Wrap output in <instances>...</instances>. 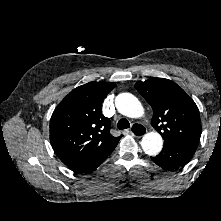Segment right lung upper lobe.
Masks as SVG:
<instances>
[{"label":"right lung upper lobe","instance_id":"1","mask_svg":"<svg viewBox=\"0 0 221 221\" xmlns=\"http://www.w3.org/2000/svg\"><path fill=\"white\" fill-rule=\"evenodd\" d=\"M114 82H90L73 89L55 108L50 120V142L66 165L105 156L121 137L110 134V119L101 112L104 97Z\"/></svg>","mask_w":221,"mask_h":221}]
</instances>
